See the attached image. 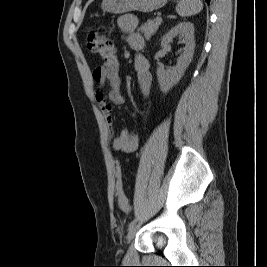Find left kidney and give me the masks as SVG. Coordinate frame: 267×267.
<instances>
[{"instance_id": "left-kidney-1", "label": "left kidney", "mask_w": 267, "mask_h": 267, "mask_svg": "<svg viewBox=\"0 0 267 267\" xmlns=\"http://www.w3.org/2000/svg\"><path fill=\"white\" fill-rule=\"evenodd\" d=\"M179 37L185 42L183 53L178 57L177 64L171 69L165 70L163 67L157 68V78L160 89L163 93H167L174 85H176L185 70L189 66L195 48L194 41V25L190 22H181L166 33L161 41V47L167 48L173 38Z\"/></svg>"}]
</instances>
